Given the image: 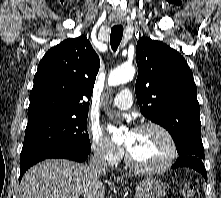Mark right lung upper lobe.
Here are the masks:
<instances>
[{"mask_svg":"<svg viewBox=\"0 0 221 198\" xmlns=\"http://www.w3.org/2000/svg\"><path fill=\"white\" fill-rule=\"evenodd\" d=\"M100 60L86 36L67 39L42 58L30 92L28 122L46 116L88 115Z\"/></svg>","mask_w":221,"mask_h":198,"instance_id":"1","label":"right lung upper lobe"}]
</instances>
